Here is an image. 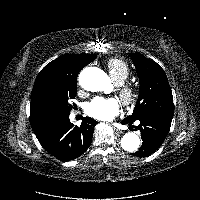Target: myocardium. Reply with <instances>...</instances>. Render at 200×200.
I'll return each mask as SVG.
<instances>
[{"instance_id":"myocardium-1","label":"myocardium","mask_w":200,"mask_h":200,"mask_svg":"<svg viewBox=\"0 0 200 200\" xmlns=\"http://www.w3.org/2000/svg\"><path fill=\"white\" fill-rule=\"evenodd\" d=\"M118 95L125 106H131L137 101L138 90L129 83H122L118 86Z\"/></svg>"}]
</instances>
